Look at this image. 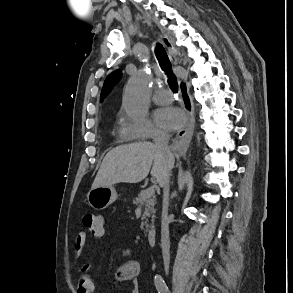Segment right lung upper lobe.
Wrapping results in <instances>:
<instances>
[{
    "label": "right lung upper lobe",
    "mask_w": 293,
    "mask_h": 293,
    "mask_svg": "<svg viewBox=\"0 0 293 293\" xmlns=\"http://www.w3.org/2000/svg\"><path fill=\"white\" fill-rule=\"evenodd\" d=\"M165 42L167 43V40H165ZM120 78V70H116L107 76L101 91V101L109 94L113 86L120 80Z\"/></svg>",
    "instance_id": "cb5924a9"
}]
</instances>
